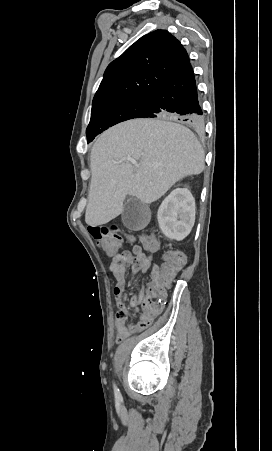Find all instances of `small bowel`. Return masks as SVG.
<instances>
[{
  "label": "small bowel",
  "instance_id": "obj_1",
  "mask_svg": "<svg viewBox=\"0 0 272 451\" xmlns=\"http://www.w3.org/2000/svg\"><path fill=\"white\" fill-rule=\"evenodd\" d=\"M154 248L152 247L151 249H143L141 247V243L140 244H134L132 246L131 252H138L139 256H147L148 261H150V263H153V253L152 250ZM157 250V249H156ZM128 252V251H125ZM111 265H109V271H110ZM147 271V270H146ZM111 273V271H110ZM115 279H116V283L113 287V294L115 297V302L117 305V309L115 312V318H114V326L115 329L117 331V333H121V328H122V311H127L126 307H125V287H126V274H112ZM135 278L132 277V282H134ZM137 302V297H133L131 299V305L133 306V304H136ZM145 316V313L142 315V318Z\"/></svg>",
  "mask_w": 272,
  "mask_h": 451
}]
</instances>
